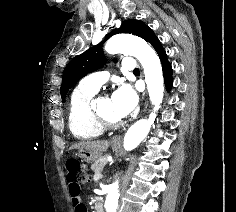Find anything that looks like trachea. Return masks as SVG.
<instances>
[{"label": "trachea", "instance_id": "trachea-1", "mask_svg": "<svg viewBox=\"0 0 236 212\" xmlns=\"http://www.w3.org/2000/svg\"><path fill=\"white\" fill-rule=\"evenodd\" d=\"M133 73H139V69L136 68V69L133 71Z\"/></svg>", "mask_w": 236, "mask_h": 212}]
</instances>
